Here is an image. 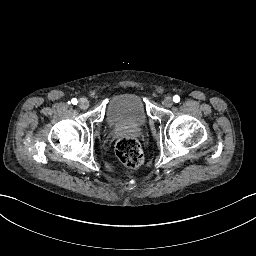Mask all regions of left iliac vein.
Returning a JSON list of instances; mask_svg holds the SVG:
<instances>
[{
    "label": "left iliac vein",
    "mask_w": 256,
    "mask_h": 256,
    "mask_svg": "<svg viewBox=\"0 0 256 256\" xmlns=\"http://www.w3.org/2000/svg\"><path fill=\"white\" fill-rule=\"evenodd\" d=\"M164 104L166 107H171L173 105V99L171 97H166L164 99Z\"/></svg>",
    "instance_id": "1"
}]
</instances>
